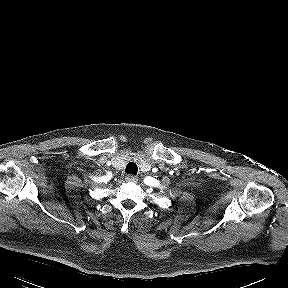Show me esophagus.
<instances>
[{"instance_id":"1","label":"esophagus","mask_w":288,"mask_h":288,"mask_svg":"<svg viewBox=\"0 0 288 288\" xmlns=\"http://www.w3.org/2000/svg\"><path fill=\"white\" fill-rule=\"evenodd\" d=\"M126 181L129 182H136L138 180L137 176L129 174L125 177Z\"/></svg>"}]
</instances>
